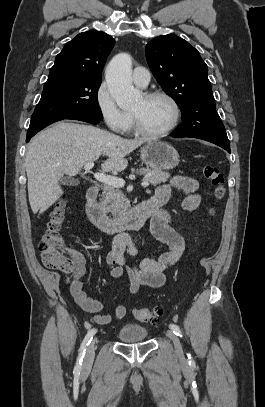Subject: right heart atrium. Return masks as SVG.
Listing matches in <instances>:
<instances>
[{"label":"right heart atrium","instance_id":"right-heart-atrium-1","mask_svg":"<svg viewBox=\"0 0 265 407\" xmlns=\"http://www.w3.org/2000/svg\"><path fill=\"white\" fill-rule=\"evenodd\" d=\"M97 109L105 124L114 132L123 133L131 124V117L116 104L106 82H102L95 93Z\"/></svg>","mask_w":265,"mask_h":407}]
</instances>
